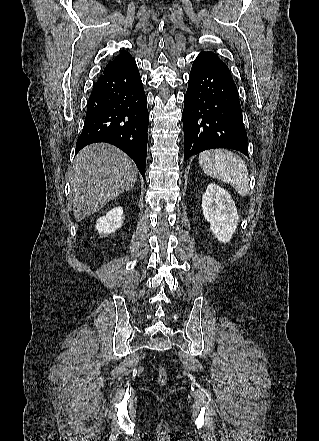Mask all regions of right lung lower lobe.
Wrapping results in <instances>:
<instances>
[{
    "mask_svg": "<svg viewBox=\"0 0 319 441\" xmlns=\"http://www.w3.org/2000/svg\"><path fill=\"white\" fill-rule=\"evenodd\" d=\"M148 122L147 97L133 59L98 79L76 153L91 143L113 144L134 160L145 177Z\"/></svg>",
    "mask_w": 319,
    "mask_h": 441,
    "instance_id": "obj_1",
    "label": "right lung lower lobe"
}]
</instances>
